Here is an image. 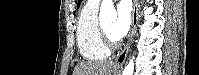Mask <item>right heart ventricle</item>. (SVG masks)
I'll return each mask as SVG.
<instances>
[{"label":"right heart ventricle","mask_w":199,"mask_h":75,"mask_svg":"<svg viewBox=\"0 0 199 75\" xmlns=\"http://www.w3.org/2000/svg\"><path fill=\"white\" fill-rule=\"evenodd\" d=\"M97 6L87 4L82 10L77 23V43L82 57L88 61H101L109 55L100 34V22Z\"/></svg>","instance_id":"right-heart-ventricle-1"}]
</instances>
